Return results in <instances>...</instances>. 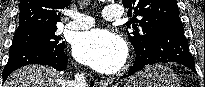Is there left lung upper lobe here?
Listing matches in <instances>:
<instances>
[{
  "label": "left lung upper lobe",
  "instance_id": "1",
  "mask_svg": "<svg viewBox=\"0 0 205 87\" xmlns=\"http://www.w3.org/2000/svg\"><path fill=\"white\" fill-rule=\"evenodd\" d=\"M122 3L129 8L130 14L135 13L126 25L133 28L128 36L136 53L144 52L161 29L181 23L176 0H122Z\"/></svg>",
  "mask_w": 205,
  "mask_h": 87
}]
</instances>
